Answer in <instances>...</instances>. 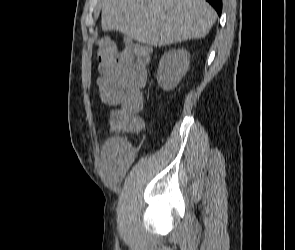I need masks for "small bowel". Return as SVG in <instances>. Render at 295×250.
<instances>
[{
	"label": "small bowel",
	"instance_id": "obj_1",
	"mask_svg": "<svg viewBox=\"0 0 295 250\" xmlns=\"http://www.w3.org/2000/svg\"><path fill=\"white\" fill-rule=\"evenodd\" d=\"M149 59L148 50L137 54L122 50L114 69L97 79L101 100L110 106L131 105L141 110ZM125 151L124 141L117 138L108 140L103 147V161L115 179L124 173Z\"/></svg>",
	"mask_w": 295,
	"mask_h": 250
}]
</instances>
